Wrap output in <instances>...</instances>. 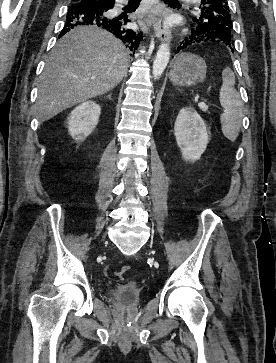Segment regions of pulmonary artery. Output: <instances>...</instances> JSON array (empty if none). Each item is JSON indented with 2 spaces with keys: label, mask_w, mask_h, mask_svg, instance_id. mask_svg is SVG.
<instances>
[{
  "label": "pulmonary artery",
  "mask_w": 276,
  "mask_h": 363,
  "mask_svg": "<svg viewBox=\"0 0 276 363\" xmlns=\"http://www.w3.org/2000/svg\"><path fill=\"white\" fill-rule=\"evenodd\" d=\"M183 1L189 2V1H193V0H183Z\"/></svg>",
  "instance_id": "pulmonary-artery-1"
}]
</instances>
